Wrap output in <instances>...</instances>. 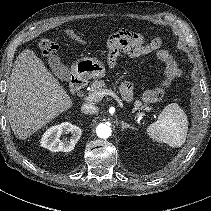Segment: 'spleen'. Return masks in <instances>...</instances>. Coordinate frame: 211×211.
<instances>
[{"label":"spleen","mask_w":211,"mask_h":211,"mask_svg":"<svg viewBox=\"0 0 211 211\" xmlns=\"http://www.w3.org/2000/svg\"><path fill=\"white\" fill-rule=\"evenodd\" d=\"M146 131L153 141L180 147L186 140L187 116L177 103L168 104L159 114L158 120L150 124Z\"/></svg>","instance_id":"3e777b00"}]
</instances>
